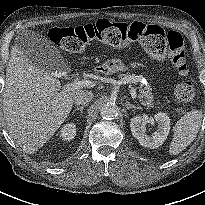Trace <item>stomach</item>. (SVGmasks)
<instances>
[{
    "label": "stomach",
    "instance_id": "0dacf381",
    "mask_svg": "<svg viewBox=\"0 0 205 205\" xmlns=\"http://www.w3.org/2000/svg\"><path fill=\"white\" fill-rule=\"evenodd\" d=\"M104 69H107L108 74L116 72H125L128 68L119 60H111L107 62V65L103 66Z\"/></svg>",
    "mask_w": 205,
    "mask_h": 205
}]
</instances>
